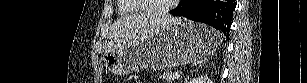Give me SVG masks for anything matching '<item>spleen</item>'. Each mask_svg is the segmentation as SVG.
<instances>
[{"label": "spleen", "mask_w": 307, "mask_h": 83, "mask_svg": "<svg viewBox=\"0 0 307 83\" xmlns=\"http://www.w3.org/2000/svg\"><path fill=\"white\" fill-rule=\"evenodd\" d=\"M219 39L221 40L222 39V37H221V35L219 34Z\"/></svg>", "instance_id": "obj_1"}]
</instances>
